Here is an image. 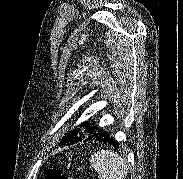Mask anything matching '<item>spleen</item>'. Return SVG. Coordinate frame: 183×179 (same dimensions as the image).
<instances>
[{
	"label": "spleen",
	"mask_w": 183,
	"mask_h": 179,
	"mask_svg": "<svg viewBox=\"0 0 183 179\" xmlns=\"http://www.w3.org/2000/svg\"><path fill=\"white\" fill-rule=\"evenodd\" d=\"M91 166L99 174V179H125L128 173L126 160L118 153L101 150L90 159Z\"/></svg>",
	"instance_id": "obj_1"
}]
</instances>
